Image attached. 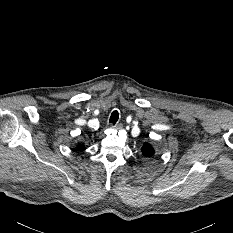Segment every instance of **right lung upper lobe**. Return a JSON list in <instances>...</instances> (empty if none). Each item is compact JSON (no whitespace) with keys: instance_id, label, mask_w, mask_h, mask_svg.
<instances>
[{"instance_id":"1","label":"right lung upper lobe","mask_w":233,"mask_h":233,"mask_svg":"<svg viewBox=\"0 0 233 233\" xmlns=\"http://www.w3.org/2000/svg\"><path fill=\"white\" fill-rule=\"evenodd\" d=\"M79 147H80V148H83V147H84V145H83V144H79Z\"/></svg>"}]
</instances>
